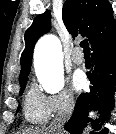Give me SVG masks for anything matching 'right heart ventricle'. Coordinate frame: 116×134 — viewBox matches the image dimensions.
Segmentation results:
<instances>
[{
  "instance_id": "right-heart-ventricle-1",
  "label": "right heart ventricle",
  "mask_w": 116,
  "mask_h": 134,
  "mask_svg": "<svg viewBox=\"0 0 116 134\" xmlns=\"http://www.w3.org/2000/svg\"><path fill=\"white\" fill-rule=\"evenodd\" d=\"M23 112L25 120L32 124L45 123L50 117L46 97L34 86H31L25 95Z\"/></svg>"
}]
</instances>
